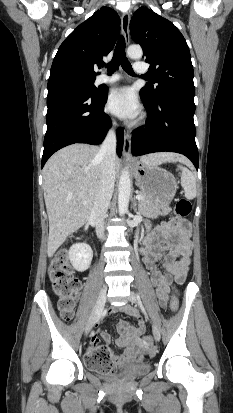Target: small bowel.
I'll return each mask as SVG.
<instances>
[{"instance_id": "1", "label": "small bowel", "mask_w": 233, "mask_h": 413, "mask_svg": "<svg viewBox=\"0 0 233 413\" xmlns=\"http://www.w3.org/2000/svg\"><path fill=\"white\" fill-rule=\"evenodd\" d=\"M192 244L190 240L189 223L182 218L164 222L151 230L144 239L142 249L143 262L150 272L151 283L155 287L160 305L165 308L174 282L182 284L190 267ZM161 262L160 269L157 262ZM122 311L136 320V325L119 323L118 330L124 335L118 340V346L125 349L122 355H114L115 362L125 364L141 361L146 347L141 335L145 331V322L137 309L124 305L113 307L110 313ZM100 337L109 343L111 336L105 331ZM106 348L99 345V337L92 334L90 345L85 353V360L98 350Z\"/></svg>"}]
</instances>
